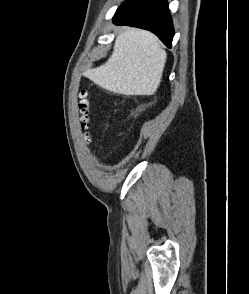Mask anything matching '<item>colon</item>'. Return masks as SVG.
<instances>
[{"label":"colon","instance_id":"5ec220e1","mask_svg":"<svg viewBox=\"0 0 249 294\" xmlns=\"http://www.w3.org/2000/svg\"><path fill=\"white\" fill-rule=\"evenodd\" d=\"M79 110L81 114L82 124L87 127L90 120V101L85 91L80 95Z\"/></svg>","mask_w":249,"mask_h":294}]
</instances>
